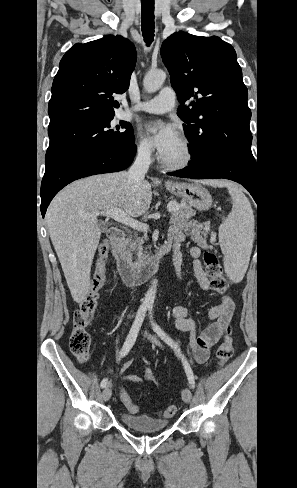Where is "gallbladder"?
Here are the masks:
<instances>
[{
    "label": "gallbladder",
    "mask_w": 297,
    "mask_h": 488,
    "mask_svg": "<svg viewBox=\"0 0 297 488\" xmlns=\"http://www.w3.org/2000/svg\"><path fill=\"white\" fill-rule=\"evenodd\" d=\"M100 228H101V231H102V232H104V231L107 229L106 225H105V224H103V223H102V224H100Z\"/></svg>",
    "instance_id": "obj_1"
}]
</instances>
